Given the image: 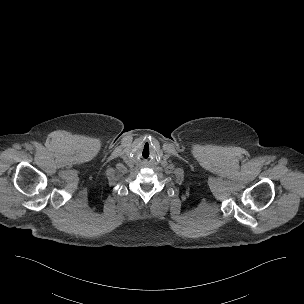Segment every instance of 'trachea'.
I'll return each instance as SVG.
<instances>
[{"label":"trachea","mask_w":304,"mask_h":304,"mask_svg":"<svg viewBox=\"0 0 304 304\" xmlns=\"http://www.w3.org/2000/svg\"><path fill=\"white\" fill-rule=\"evenodd\" d=\"M140 157L142 159H149L151 157V149L149 146L144 145L140 149Z\"/></svg>","instance_id":"obj_1"}]
</instances>
